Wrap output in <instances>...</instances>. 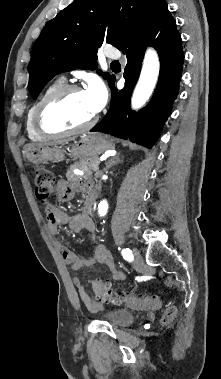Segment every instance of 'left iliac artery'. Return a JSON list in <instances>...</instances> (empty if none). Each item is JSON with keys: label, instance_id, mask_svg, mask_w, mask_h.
Returning <instances> with one entry per match:
<instances>
[{"label": "left iliac artery", "instance_id": "left-iliac-artery-1", "mask_svg": "<svg viewBox=\"0 0 221 379\" xmlns=\"http://www.w3.org/2000/svg\"><path fill=\"white\" fill-rule=\"evenodd\" d=\"M121 254L123 258L128 262H131L133 260V254L129 248L122 249Z\"/></svg>", "mask_w": 221, "mask_h": 379}]
</instances>
